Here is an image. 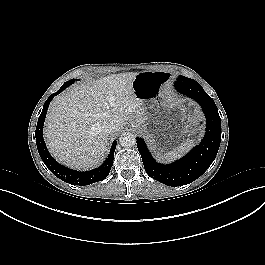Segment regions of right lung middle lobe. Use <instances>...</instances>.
<instances>
[{
	"label": "right lung middle lobe",
	"instance_id": "dd1d6c3e",
	"mask_svg": "<svg viewBox=\"0 0 265 265\" xmlns=\"http://www.w3.org/2000/svg\"><path fill=\"white\" fill-rule=\"evenodd\" d=\"M74 82H75V79H71V80L65 82V83L62 85V87L66 88V87L70 86L71 84H73Z\"/></svg>",
	"mask_w": 265,
	"mask_h": 265
}]
</instances>
